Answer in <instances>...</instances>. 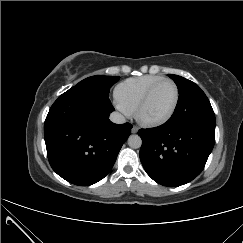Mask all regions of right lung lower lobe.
I'll list each match as a JSON object with an SVG mask.
<instances>
[{"label":"right lung lower lobe","instance_id":"obj_1","mask_svg":"<svg viewBox=\"0 0 243 243\" xmlns=\"http://www.w3.org/2000/svg\"><path fill=\"white\" fill-rule=\"evenodd\" d=\"M109 97L72 87L51 106L44 125L52 169L66 181L92 185L112 169L131 133L130 123L114 124Z\"/></svg>","mask_w":243,"mask_h":243}]
</instances>
